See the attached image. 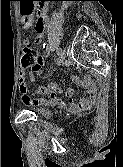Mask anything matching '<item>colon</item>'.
Listing matches in <instances>:
<instances>
[{
	"label": "colon",
	"mask_w": 123,
	"mask_h": 167,
	"mask_svg": "<svg viewBox=\"0 0 123 167\" xmlns=\"http://www.w3.org/2000/svg\"><path fill=\"white\" fill-rule=\"evenodd\" d=\"M42 29L43 20L40 18L37 22V31L41 32ZM21 64L23 66H31L32 68H37L40 65L38 52L33 47L31 40H26L25 45L21 50Z\"/></svg>",
	"instance_id": "colon-1"
}]
</instances>
